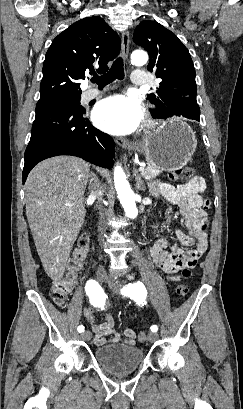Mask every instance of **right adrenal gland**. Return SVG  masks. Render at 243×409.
I'll use <instances>...</instances> for the list:
<instances>
[{
	"instance_id": "2a0ac1e0",
	"label": "right adrenal gland",
	"mask_w": 243,
	"mask_h": 409,
	"mask_svg": "<svg viewBox=\"0 0 243 409\" xmlns=\"http://www.w3.org/2000/svg\"><path fill=\"white\" fill-rule=\"evenodd\" d=\"M98 182V179L94 174L91 173V179H90V184L88 186V190L92 191L96 183Z\"/></svg>"
}]
</instances>
